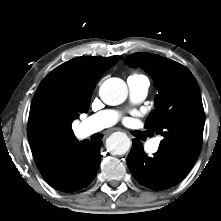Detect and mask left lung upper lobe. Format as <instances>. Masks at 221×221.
Returning <instances> with one entry per match:
<instances>
[{
    "label": "left lung upper lobe",
    "instance_id": "5c2ea615",
    "mask_svg": "<svg viewBox=\"0 0 221 221\" xmlns=\"http://www.w3.org/2000/svg\"><path fill=\"white\" fill-rule=\"evenodd\" d=\"M127 63L141 66L153 77L156 108L145 125L150 134L163 137L158 152L185 176L200 154L205 122L196 79L183 65L156 54H131Z\"/></svg>",
    "mask_w": 221,
    "mask_h": 221
}]
</instances>
